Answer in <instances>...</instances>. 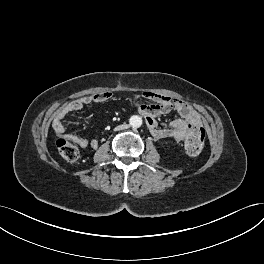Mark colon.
Wrapping results in <instances>:
<instances>
[{"label": "colon", "instance_id": "obj_1", "mask_svg": "<svg viewBox=\"0 0 264 264\" xmlns=\"http://www.w3.org/2000/svg\"><path fill=\"white\" fill-rule=\"evenodd\" d=\"M205 131L202 127H196L185 141L184 147L189 155L196 156L201 153L204 147ZM56 146L60 155L69 162L79 158V149L76 145L67 140L64 136H58Z\"/></svg>", "mask_w": 264, "mask_h": 264}]
</instances>
